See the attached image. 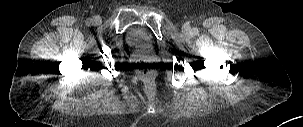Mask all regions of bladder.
<instances>
[{
  "label": "bladder",
  "mask_w": 303,
  "mask_h": 127,
  "mask_svg": "<svg viewBox=\"0 0 303 127\" xmlns=\"http://www.w3.org/2000/svg\"><path fill=\"white\" fill-rule=\"evenodd\" d=\"M127 43L134 48H143L149 45L148 32L142 27H132L126 33Z\"/></svg>",
  "instance_id": "1"
}]
</instances>
